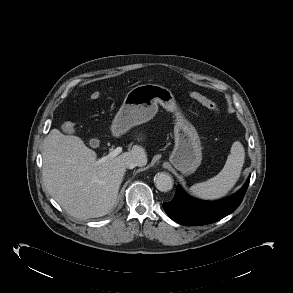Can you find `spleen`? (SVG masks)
I'll list each match as a JSON object with an SVG mask.
<instances>
[{"instance_id":"obj_1","label":"spleen","mask_w":293,"mask_h":293,"mask_svg":"<svg viewBox=\"0 0 293 293\" xmlns=\"http://www.w3.org/2000/svg\"><path fill=\"white\" fill-rule=\"evenodd\" d=\"M245 159L243 145L236 141L231 147L223 169L216 176L190 187V192L201 199L215 200L224 197L238 181Z\"/></svg>"}]
</instances>
